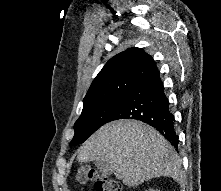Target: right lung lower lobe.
Masks as SVG:
<instances>
[{
    "instance_id": "1",
    "label": "right lung lower lobe",
    "mask_w": 221,
    "mask_h": 191,
    "mask_svg": "<svg viewBox=\"0 0 221 191\" xmlns=\"http://www.w3.org/2000/svg\"><path fill=\"white\" fill-rule=\"evenodd\" d=\"M136 119L158 130L175 148L178 135L159 72L133 87L120 101L108 122ZM107 122V123H108Z\"/></svg>"
}]
</instances>
